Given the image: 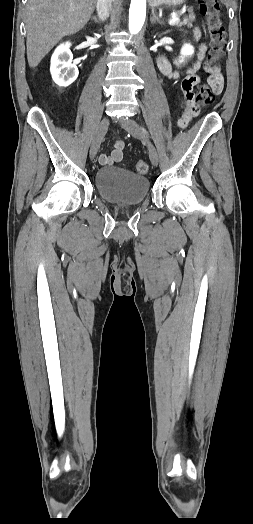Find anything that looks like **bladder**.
<instances>
[{
	"label": "bladder",
	"mask_w": 253,
	"mask_h": 524,
	"mask_svg": "<svg viewBox=\"0 0 253 524\" xmlns=\"http://www.w3.org/2000/svg\"><path fill=\"white\" fill-rule=\"evenodd\" d=\"M149 180L117 166L100 168L95 175V187L106 202L114 205H136L149 192Z\"/></svg>",
	"instance_id": "1"
}]
</instances>
